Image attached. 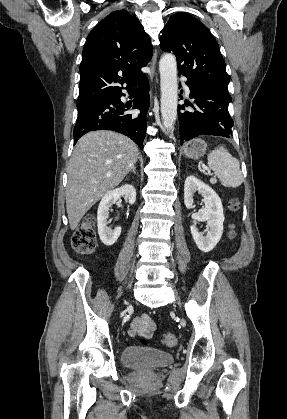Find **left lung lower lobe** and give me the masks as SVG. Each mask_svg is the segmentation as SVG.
<instances>
[{"instance_id":"1","label":"left lung lower lobe","mask_w":287,"mask_h":419,"mask_svg":"<svg viewBox=\"0 0 287 419\" xmlns=\"http://www.w3.org/2000/svg\"><path fill=\"white\" fill-rule=\"evenodd\" d=\"M186 84L194 105L185 103V106H192L195 112L181 113L179 111L184 109V105H178L180 144L204 135L231 138L233 120L228 105L232 99L228 90L189 81Z\"/></svg>"}]
</instances>
